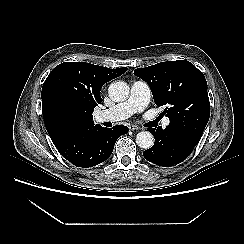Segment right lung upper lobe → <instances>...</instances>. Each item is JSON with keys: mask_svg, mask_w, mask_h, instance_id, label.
<instances>
[{"mask_svg": "<svg viewBox=\"0 0 244 244\" xmlns=\"http://www.w3.org/2000/svg\"><path fill=\"white\" fill-rule=\"evenodd\" d=\"M126 67L110 69L85 62H64L56 66L45 80L41 98L46 129L52 141L69 132L91 129L93 110L101 104L104 83L119 77ZM70 118L65 120L61 111Z\"/></svg>", "mask_w": 244, "mask_h": 244, "instance_id": "obj_1", "label": "right lung upper lobe"}]
</instances>
